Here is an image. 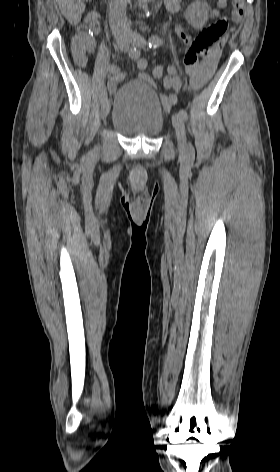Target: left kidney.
I'll list each match as a JSON object with an SVG mask.
<instances>
[{"mask_svg":"<svg viewBox=\"0 0 280 472\" xmlns=\"http://www.w3.org/2000/svg\"><path fill=\"white\" fill-rule=\"evenodd\" d=\"M210 7L206 2L196 0L188 6L185 17L187 21L195 28H201L208 19V11Z\"/></svg>","mask_w":280,"mask_h":472,"instance_id":"obj_1","label":"left kidney"}]
</instances>
